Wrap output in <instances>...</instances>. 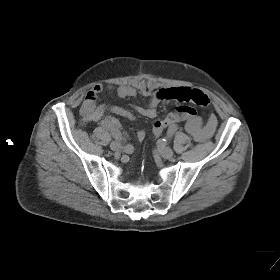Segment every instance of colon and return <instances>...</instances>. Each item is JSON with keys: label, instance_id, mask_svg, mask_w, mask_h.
I'll use <instances>...</instances> for the list:
<instances>
[{"label": "colon", "instance_id": "5ec220e1", "mask_svg": "<svg viewBox=\"0 0 280 280\" xmlns=\"http://www.w3.org/2000/svg\"><path fill=\"white\" fill-rule=\"evenodd\" d=\"M196 114L194 108L189 105H180L172 113H169L165 118L156 121L153 124L152 135L159 137L163 131L173 123L185 121Z\"/></svg>", "mask_w": 280, "mask_h": 280}]
</instances>
